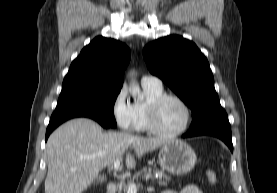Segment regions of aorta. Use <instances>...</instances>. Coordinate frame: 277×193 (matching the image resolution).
Here are the masks:
<instances>
[{
  "mask_svg": "<svg viewBox=\"0 0 277 193\" xmlns=\"http://www.w3.org/2000/svg\"><path fill=\"white\" fill-rule=\"evenodd\" d=\"M129 91L131 92L133 97L143 100V94L140 91L139 85L135 83V81L131 82Z\"/></svg>",
  "mask_w": 277,
  "mask_h": 193,
  "instance_id": "aorta-1",
  "label": "aorta"
}]
</instances>
